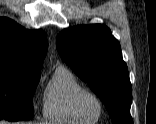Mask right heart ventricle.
<instances>
[{
  "instance_id": "obj_1",
  "label": "right heart ventricle",
  "mask_w": 156,
  "mask_h": 124,
  "mask_svg": "<svg viewBox=\"0 0 156 124\" xmlns=\"http://www.w3.org/2000/svg\"><path fill=\"white\" fill-rule=\"evenodd\" d=\"M81 88V83L68 68L62 65L58 66L45 90L44 118L62 124H92L97 122V118H82L74 108V95Z\"/></svg>"
}]
</instances>
